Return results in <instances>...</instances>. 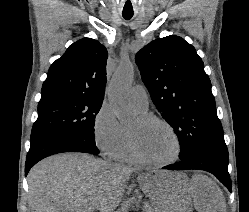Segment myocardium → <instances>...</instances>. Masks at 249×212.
I'll use <instances>...</instances> for the list:
<instances>
[{
	"mask_svg": "<svg viewBox=\"0 0 249 212\" xmlns=\"http://www.w3.org/2000/svg\"><path fill=\"white\" fill-rule=\"evenodd\" d=\"M138 119L143 124L158 123L164 126L167 130L171 132V134L176 139L178 150H177L176 156L172 160L164 161V162H155V161L148 160L139 152L131 134L128 131V135H127L128 145H129V149L134 160L142 165L149 166V167H155V168L168 167L179 162L183 154V144L175 128L165 119L160 118L155 115H141Z\"/></svg>",
	"mask_w": 249,
	"mask_h": 212,
	"instance_id": "obj_1",
	"label": "myocardium"
}]
</instances>
